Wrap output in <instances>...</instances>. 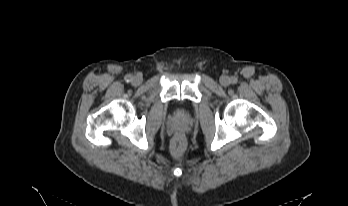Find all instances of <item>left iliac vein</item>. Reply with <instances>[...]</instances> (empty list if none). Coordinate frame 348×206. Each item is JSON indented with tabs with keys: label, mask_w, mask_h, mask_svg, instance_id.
<instances>
[{
	"label": "left iliac vein",
	"mask_w": 348,
	"mask_h": 206,
	"mask_svg": "<svg viewBox=\"0 0 348 206\" xmlns=\"http://www.w3.org/2000/svg\"><path fill=\"white\" fill-rule=\"evenodd\" d=\"M220 84L224 87L228 86L230 84V78L228 76H221L220 77Z\"/></svg>",
	"instance_id": "1"
}]
</instances>
